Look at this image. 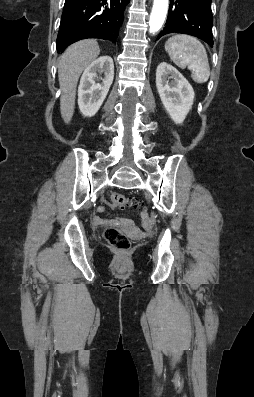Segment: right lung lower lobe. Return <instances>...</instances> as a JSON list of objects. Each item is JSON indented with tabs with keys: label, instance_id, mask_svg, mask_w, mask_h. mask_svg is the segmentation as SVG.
<instances>
[{
	"label": "right lung lower lobe",
	"instance_id": "1",
	"mask_svg": "<svg viewBox=\"0 0 254 397\" xmlns=\"http://www.w3.org/2000/svg\"><path fill=\"white\" fill-rule=\"evenodd\" d=\"M130 0H65L59 32L57 52L86 38L116 42Z\"/></svg>",
	"mask_w": 254,
	"mask_h": 397
}]
</instances>
